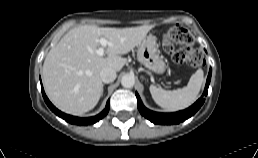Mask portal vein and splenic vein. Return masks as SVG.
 I'll return each instance as SVG.
<instances>
[{"mask_svg":"<svg viewBox=\"0 0 258 158\" xmlns=\"http://www.w3.org/2000/svg\"><path fill=\"white\" fill-rule=\"evenodd\" d=\"M99 42L101 46L95 52L97 55L103 56L105 52V48L107 47L109 42L105 38H100Z\"/></svg>","mask_w":258,"mask_h":158,"instance_id":"obj_1","label":"portal vein and splenic vein"}]
</instances>
